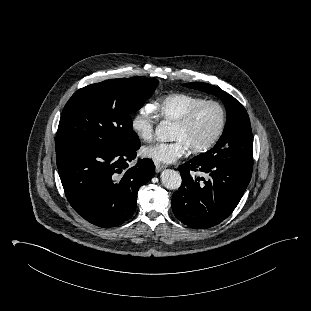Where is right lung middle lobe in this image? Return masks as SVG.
Wrapping results in <instances>:
<instances>
[{
  "label": "right lung middle lobe",
  "mask_w": 311,
  "mask_h": 311,
  "mask_svg": "<svg viewBox=\"0 0 311 311\" xmlns=\"http://www.w3.org/2000/svg\"><path fill=\"white\" fill-rule=\"evenodd\" d=\"M159 82L131 77L112 79L79 89L60 118L55 149L87 148L121 152L140 145L131 114L148 100Z\"/></svg>",
  "instance_id": "1"
}]
</instances>
